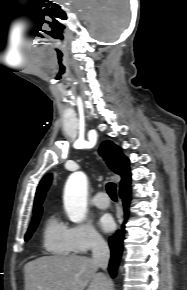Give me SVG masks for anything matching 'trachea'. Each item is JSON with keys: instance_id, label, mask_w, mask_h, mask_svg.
I'll return each mask as SVG.
<instances>
[{"instance_id": "trachea-1", "label": "trachea", "mask_w": 187, "mask_h": 290, "mask_svg": "<svg viewBox=\"0 0 187 290\" xmlns=\"http://www.w3.org/2000/svg\"><path fill=\"white\" fill-rule=\"evenodd\" d=\"M106 190L112 200L117 201L116 185L114 183H107Z\"/></svg>"}]
</instances>
